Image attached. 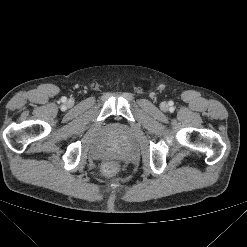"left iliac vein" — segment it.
<instances>
[{"label": "left iliac vein", "instance_id": "left-iliac-vein-1", "mask_svg": "<svg viewBox=\"0 0 247 247\" xmlns=\"http://www.w3.org/2000/svg\"><path fill=\"white\" fill-rule=\"evenodd\" d=\"M161 108H162V110H166V109L168 108L167 103L163 102V103L161 104Z\"/></svg>", "mask_w": 247, "mask_h": 247}]
</instances>
